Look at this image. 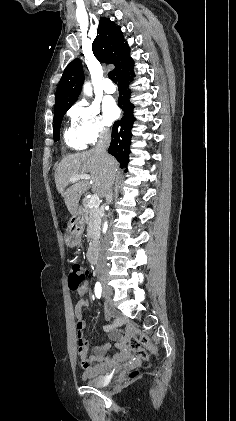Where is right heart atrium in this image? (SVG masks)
<instances>
[{"mask_svg": "<svg viewBox=\"0 0 236 421\" xmlns=\"http://www.w3.org/2000/svg\"><path fill=\"white\" fill-rule=\"evenodd\" d=\"M72 126L87 144H95L110 134L109 127L97 105L78 102L70 111Z\"/></svg>", "mask_w": 236, "mask_h": 421, "instance_id": "d8ad5b80", "label": "right heart atrium"}]
</instances>
